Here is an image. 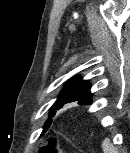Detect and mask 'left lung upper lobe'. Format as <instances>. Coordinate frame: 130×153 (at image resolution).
Returning a JSON list of instances; mask_svg holds the SVG:
<instances>
[{
    "mask_svg": "<svg viewBox=\"0 0 130 153\" xmlns=\"http://www.w3.org/2000/svg\"><path fill=\"white\" fill-rule=\"evenodd\" d=\"M90 87V83L81 80V78H75L69 81L63 91L59 94L56 102L53 104L50 112V118L55 115V110L61 108L64 104L68 103V101L72 99L83 100L85 103H90ZM51 122V119L47 120L42 133H44L49 128Z\"/></svg>",
    "mask_w": 130,
    "mask_h": 153,
    "instance_id": "1",
    "label": "left lung upper lobe"
}]
</instances>
